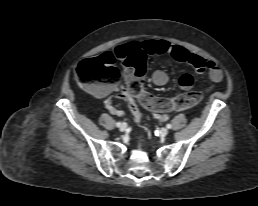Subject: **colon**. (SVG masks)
Returning <instances> with one entry per match:
<instances>
[{
  "label": "colon",
  "mask_w": 258,
  "mask_h": 206,
  "mask_svg": "<svg viewBox=\"0 0 258 206\" xmlns=\"http://www.w3.org/2000/svg\"><path fill=\"white\" fill-rule=\"evenodd\" d=\"M124 93L128 105L138 122L142 116L137 103L155 113L166 114L175 110H185L198 105L202 99L199 92H186L172 99H160L144 89L145 58L138 54L125 60ZM78 82L89 89H96L100 84H115L121 79V73L115 66L114 57L104 53L98 57L85 59L75 68Z\"/></svg>",
  "instance_id": "5ec220e1"
}]
</instances>
